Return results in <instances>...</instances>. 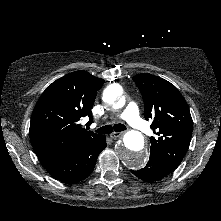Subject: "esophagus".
I'll list each match as a JSON object with an SVG mask.
<instances>
[{"mask_svg": "<svg viewBox=\"0 0 221 221\" xmlns=\"http://www.w3.org/2000/svg\"><path fill=\"white\" fill-rule=\"evenodd\" d=\"M122 135H123V132H113L110 134V137L112 139H117V138L121 137Z\"/></svg>", "mask_w": 221, "mask_h": 221, "instance_id": "esophagus-1", "label": "esophagus"}]
</instances>
